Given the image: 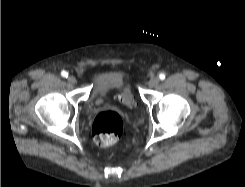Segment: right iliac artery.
Returning a JSON list of instances; mask_svg holds the SVG:
<instances>
[{"label":"right iliac artery","instance_id":"obj_1","mask_svg":"<svg viewBox=\"0 0 245 187\" xmlns=\"http://www.w3.org/2000/svg\"><path fill=\"white\" fill-rule=\"evenodd\" d=\"M61 75H62V77L67 78V77H68V72L62 71V72H61Z\"/></svg>","mask_w":245,"mask_h":187}]
</instances>
